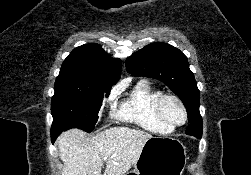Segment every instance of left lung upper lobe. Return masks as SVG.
<instances>
[{
    "label": "left lung upper lobe",
    "mask_w": 251,
    "mask_h": 175,
    "mask_svg": "<svg viewBox=\"0 0 251 175\" xmlns=\"http://www.w3.org/2000/svg\"><path fill=\"white\" fill-rule=\"evenodd\" d=\"M125 64L133 76H146L164 82L183 101L187 111L194 114L186 134L201 138L200 92L189 69L188 59L179 49L164 42L151 43L128 57Z\"/></svg>",
    "instance_id": "5c2ea615"
}]
</instances>
